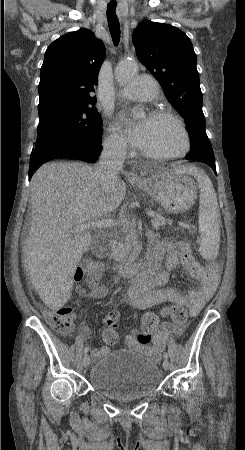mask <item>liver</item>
<instances>
[{"instance_id":"obj_1","label":"liver","mask_w":245,"mask_h":450,"mask_svg":"<svg viewBox=\"0 0 245 450\" xmlns=\"http://www.w3.org/2000/svg\"><path fill=\"white\" fill-rule=\"evenodd\" d=\"M95 171L82 163L53 162L42 165L31 181L24 264L40 298L54 311L70 299L72 277L93 242L90 232L75 235L73 228L115 211L126 194L121 179L105 192Z\"/></svg>"}]
</instances>
